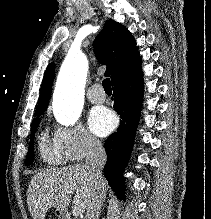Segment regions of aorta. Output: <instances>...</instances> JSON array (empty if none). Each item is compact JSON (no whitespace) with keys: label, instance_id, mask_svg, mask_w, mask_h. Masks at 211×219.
<instances>
[{"label":"aorta","instance_id":"obj_1","mask_svg":"<svg viewBox=\"0 0 211 219\" xmlns=\"http://www.w3.org/2000/svg\"><path fill=\"white\" fill-rule=\"evenodd\" d=\"M88 62L81 52H69L59 71L54 92V113L65 125L75 123L83 108Z\"/></svg>","mask_w":211,"mask_h":219}]
</instances>
